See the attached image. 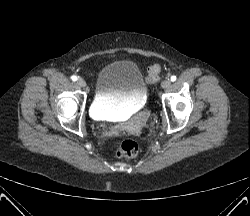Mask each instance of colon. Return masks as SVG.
Wrapping results in <instances>:
<instances>
[{
	"mask_svg": "<svg viewBox=\"0 0 250 216\" xmlns=\"http://www.w3.org/2000/svg\"><path fill=\"white\" fill-rule=\"evenodd\" d=\"M161 72L160 64H153L147 70L146 82L148 84H153L159 80ZM139 146L136 141L131 139L124 140L119 149L117 150V155L119 157H135L138 154Z\"/></svg>",
	"mask_w": 250,
	"mask_h": 216,
	"instance_id": "1",
	"label": "colon"
}]
</instances>
